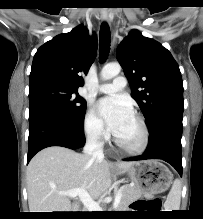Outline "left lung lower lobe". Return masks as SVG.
<instances>
[{
    "mask_svg": "<svg viewBox=\"0 0 203 219\" xmlns=\"http://www.w3.org/2000/svg\"><path fill=\"white\" fill-rule=\"evenodd\" d=\"M182 117H171L160 122L150 131L149 144L141 156L125 161L162 159L171 164L182 176Z\"/></svg>",
    "mask_w": 203,
    "mask_h": 219,
    "instance_id": "obj_1",
    "label": "left lung lower lobe"
}]
</instances>
